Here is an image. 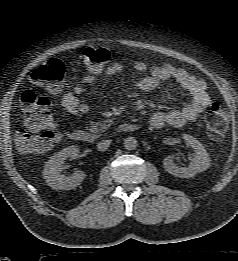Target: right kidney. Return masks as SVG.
<instances>
[{
    "instance_id": "right-kidney-1",
    "label": "right kidney",
    "mask_w": 238,
    "mask_h": 261,
    "mask_svg": "<svg viewBox=\"0 0 238 261\" xmlns=\"http://www.w3.org/2000/svg\"><path fill=\"white\" fill-rule=\"evenodd\" d=\"M78 155L79 148L77 146H69L50 157L45 163L43 170V177L47 185L56 190H70L80 185L86 177L83 171H75L70 176L61 174L64 161L69 157L76 159Z\"/></svg>"
}]
</instances>
